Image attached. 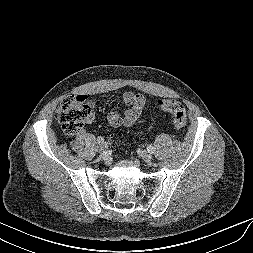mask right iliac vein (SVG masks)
Returning <instances> with one entry per match:
<instances>
[{"label": "right iliac vein", "mask_w": 253, "mask_h": 253, "mask_svg": "<svg viewBox=\"0 0 253 253\" xmlns=\"http://www.w3.org/2000/svg\"><path fill=\"white\" fill-rule=\"evenodd\" d=\"M107 149H108V146H107V144H105V143H102V144H100L99 146H98V150H99V152L100 153H105L106 151H107Z\"/></svg>", "instance_id": "1"}]
</instances>
